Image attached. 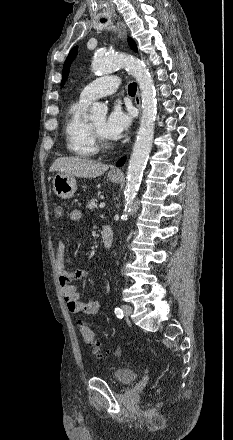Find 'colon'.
Listing matches in <instances>:
<instances>
[{
  "mask_svg": "<svg viewBox=\"0 0 233 440\" xmlns=\"http://www.w3.org/2000/svg\"><path fill=\"white\" fill-rule=\"evenodd\" d=\"M53 212H54V215L56 217H61L63 215V208H62V206L60 204H54ZM78 327H79V330H80V332L82 334V337H83L84 341L88 345L93 347V351H94L96 356L104 357V356L108 355V353L101 348L100 344L98 343V341H97V339L95 337L94 332L89 327L87 322L79 321L78 322ZM114 354L118 356L120 354L119 350H116L114 352Z\"/></svg>",
  "mask_w": 233,
  "mask_h": 440,
  "instance_id": "5ec220e1",
  "label": "colon"
}]
</instances>
